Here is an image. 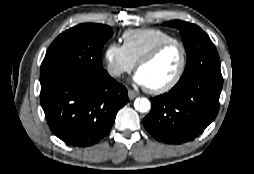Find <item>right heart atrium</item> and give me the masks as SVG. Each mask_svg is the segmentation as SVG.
<instances>
[{"instance_id": "d8ad5b80", "label": "right heart atrium", "mask_w": 254, "mask_h": 174, "mask_svg": "<svg viewBox=\"0 0 254 174\" xmlns=\"http://www.w3.org/2000/svg\"><path fill=\"white\" fill-rule=\"evenodd\" d=\"M104 62L107 72L114 78H120L135 67V63L127 54L124 46L117 42H111L106 46Z\"/></svg>"}]
</instances>
